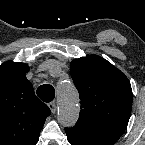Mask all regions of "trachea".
Listing matches in <instances>:
<instances>
[{"label": "trachea", "instance_id": "obj_1", "mask_svg": "<svg viewBox=\"0 0 145 145\" xmlns=\"http://www.w3.org/2000/svg\"><path fill=\"white\" fill-rule=\"evenodd\" d=\"M36 93L44 102H51L55 97V90L53 86L49 84L39 86Z\"/></svg>", "mask_w": 145, "mask_h": 145}]
</instances>
